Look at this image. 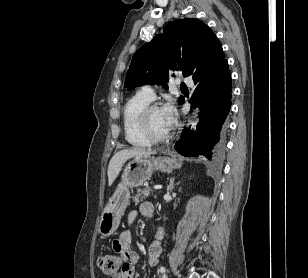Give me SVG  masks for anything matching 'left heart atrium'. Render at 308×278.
Here are the masks:
<instances>
[{
    "label": "left heart atrium",
    "instance_id": "left-heart-atrium-1",
    "mask_svg": "<svg viewBox=\"0 0 308 278\" xmlns=\"http://www.w3.org/2000/svg\"><path fill=\"white\" fill-rule=\"evenodd\" d=\"M160 111L166 128L168 130L171 129L177 119L174 106L171 103H167L160 109Z\"/></svg>",
    "mask_w": 308,
    "mask_h": 278
}]
</instances>
